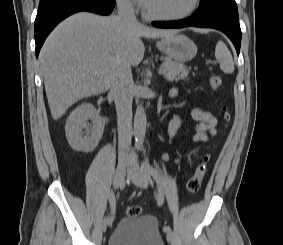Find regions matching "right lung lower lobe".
Here are the masks:
<instances>
[{"label": "right lung lower lobe", "instance_id": "obj_1", "mask_svg": "<svg viewBox=\"0 0 283 245\" xmlns=\"http://www.w3.org/2000/svg\"><path fill=\"white\" fill-rule=\"evenodd\" d=\"M115 0H40L34 23L36 57L49 33L63 19L79 11L108 15Z\"/></svg>", "mask_w": 283, "mask_h": 245}]
</instances>
